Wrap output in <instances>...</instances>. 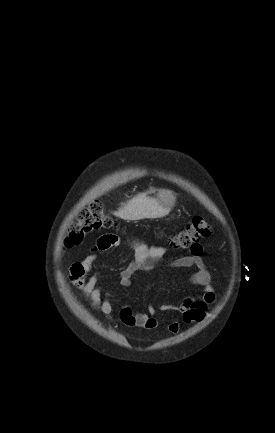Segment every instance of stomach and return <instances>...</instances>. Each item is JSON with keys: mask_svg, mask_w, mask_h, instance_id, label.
<instances>
[{"mask_svg": "<svg viewBox=\"0 0 275 433\" xmlns=\"http://www.w3.org/2000/svg\"><path fill=\"white\" fill-rule=\"evenodd\" d=\"M157 200L163 209L170 210L174 204L175 197L173 192L169 190H160L157 195Z\"/></svg>", "mask_w": 275, "mask_h": 433, "instance_id": "0dacf381", "label": "stomach"}]
</instances>
